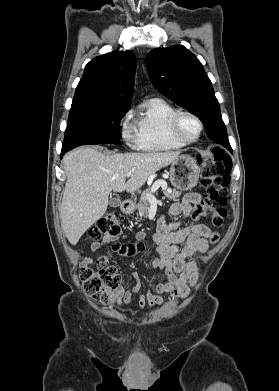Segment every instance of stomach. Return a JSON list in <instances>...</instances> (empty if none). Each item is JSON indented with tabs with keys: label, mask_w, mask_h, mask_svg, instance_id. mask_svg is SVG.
<instances>
[{
	"label": "stomach",
	"mask_w": 279,
	"mask_h": 391,
	"mask_svg": "<svg viewBox=\"0 0 279 391\" xmlns=\"http://www.w3.org/2000/svg\"><path fill=\"white\" fill-rule=\"evenodd\" d=\"M199 174V167L190 156L178 157L170 167L171 184L181 191L194 188L198 183Z\"/></svg>",
	"instance_id": "1"
}]
</instances>
